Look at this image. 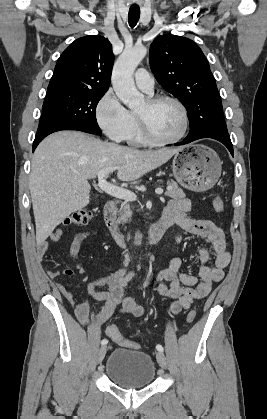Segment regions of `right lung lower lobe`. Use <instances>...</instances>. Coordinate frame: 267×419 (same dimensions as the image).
Segmentation results:
<instances>
[{"label": "right lung lower lobe", "instance_id": "obj_1", "mask_svg": "<svg viewBox=\"0 0 267 419\" xmlns=\"http://www.w3.org/2000/svg\"><path fill=\"white\" fill-rule=\"evenodd\" d=\"M61 130H78V131H83V132L91 133V134H99L87 128L74 125L66 120H63V119H60L51 115L42 114L40 122H39L38 130H37V134L33 142V151L36 149L37 145L47 135L56 131H61Z\"/></svg>", "mask_w": 267, "mask_h": 419}]
</instances>
